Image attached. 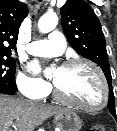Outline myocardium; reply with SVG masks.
<instances>
[{
	"mask_svg": "<svg viewBox=\"0 0 117 131\" xmlns=\"http://www.w3.org/2000/svg\"><path fill=\"white\" fill-rule=\"evenodd\" d=\"M78 65H86V66L90 67L98 76L101 86H102V100H101V102L98 105L93 106V107L83 105V104L79 103L78 101H75V100L69 98L67 95H65L55 82H53L54 96L59 101L65 103L67 105H70L72 107H75L79 110L85 111V112H97V111L102 110L107 105V102L109 99V88H108V84H107L106 78L104 76V73L102 72L100 67H98L94 62L87 60V59H80V58L69 59V60L65 61L61 65V67L62 68H71V67L78 66Z\"/></svg>",
	"mask_w": 117,
	"mask_h": 131,
	"instance_id": "obj_1",
	"label": "myocardium"
}]
</instances>
